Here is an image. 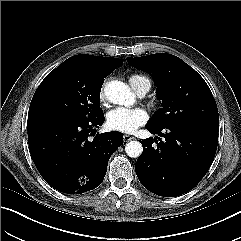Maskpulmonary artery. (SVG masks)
<instances>
[{"label": "pulmonary artery", "instance_id": "pulmonary-artery-1", "mask_svg": "<svg viewBox=\"0 0 241 241\" xmlns=\"http://www.w3.org/2000/svg\"><path fill=\"white\" fill-rule=\"evenodd\" d=\"M150 87L148 85H144L140 87L136 92L139 96H144L148 91Z\"/></svg>", "mask_w": 241, "mask_h": 241}]
</instances>
